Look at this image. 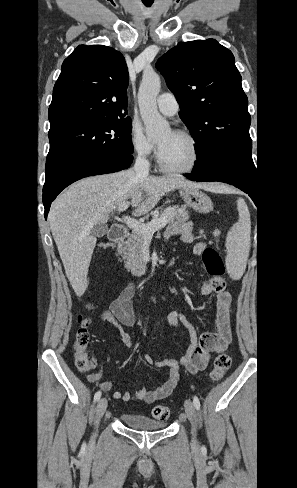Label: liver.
I'll return each instance as SVG.
<instances>
[{
    "label": "liver",
    "mask_w": 297,
    "mask_h": 488,
    "mask_svg": "<svg viewBox=\"0 0 297 488\" xmlns=\"http://www.w3.org/2000/svg\"><path fill=\"white\" fill-rule=\"evenodd\" d=\"M178 188L216 189L179 176L140 177L132 170L85 178L72 184L53 202L48 214L50 229L65 273L78 297L87 287V274L97 238V223H106L120 204L131 200L133 215L150 212L166 193Z\"/></svg>",
    "instance_id": "liver-1"
}]
</instances>
